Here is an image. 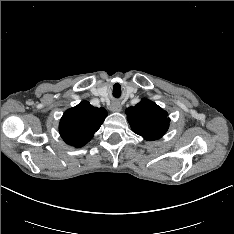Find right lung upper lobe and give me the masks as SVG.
I'll return each mask as SVG.
<instances>
[{
	"mask_svg": "<svg viewBox=\"0 0 234 234\" xmlns=\"http://www.w3.org/2000/svg\"><path fill=\"white\" fill-rule=\"evenodd\" d=\"M107 115L106 109L82 101L63 114L59 124L60 135L67 144L82 147L90 141Z\"/></svg>",
	"mask_w": 234,
	"mask_h": 234,
	"instance_id": "1",
	"label": "right lung upper lobe"
}]
</instances>
